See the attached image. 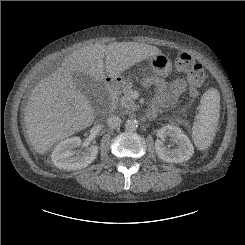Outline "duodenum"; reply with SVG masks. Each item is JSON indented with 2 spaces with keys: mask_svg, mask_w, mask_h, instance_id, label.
<instances>
[{
  "mask_svg": "<svg viewBox=\"0 0 245 245\" xmlns=\"http://www.w3.org/2000/svg\"><path fill=\"white\" fill-rule=\"evenodd\" d=\"M105 84H106L108 95H109V105L106 110V113L109 116H112L115 114L117 92L121 88L123 82L120 78L109 77V78H106Z\"/></svg>",
  "mask_w": 245,
  "mask_h": 245,
  "instance_id": "1",
  "label": "duodenum"
}]
</instances>
